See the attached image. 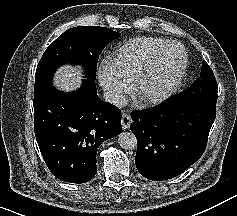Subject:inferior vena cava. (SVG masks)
Instances as JSON below:
<instances>
[{"label":"inferior vena cava","mask_w":237,"mask_h":216,"mask_svg":"<svg viewBox=\"0 0 237 216\" xmlns=\"http://www.w3.org/2000/svg\"><path fill=\"white\" fill-rule=\"evenodd\" d=\"M103 98L105 102H108L117 108H124L128 103L127 99L122 94L113 90L103 91Z\"/></svg>","instance_id":"inferior-vena-cava-1"}]
</instances>
